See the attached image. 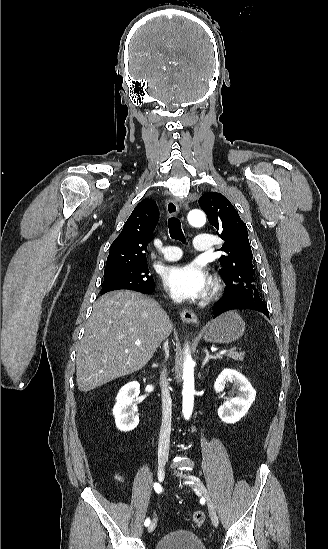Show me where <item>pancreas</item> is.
Masks as SVG:
<instances>
[{"label":"pancreas","mask_w":328,"mask_h":549,"mask_svg":"<svg viewBox=\"0 0 328 549\" xmlns=\"http://www.w3.org/2000/svg\"><path fill=\"white\" fill-rule=\"evenodd\" d=\"M245 353H237V351H230V353H227L226 357H230V359H234V361H243ZM216 359H222V357H216Z\"/></svg>","instance_id":"obj_1"}]
</instances>
